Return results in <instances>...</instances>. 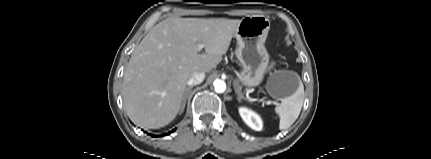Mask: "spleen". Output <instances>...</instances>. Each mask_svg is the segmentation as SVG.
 Masks as SVG:
<instances>
[{"instance_id": "1", "label": "spleen", "mask_w": 431, "mask_h": 159, "mask_svg": "<svg viewBox=\"0 0 431 159\" xmlns=\"http://www.w3.org/2000/svg\"><path fill=\"white\" fill-rule=\"evenodd\" d=\"M304 101V86L300 81L299 89L276 106L275 112L280 117L279 129L289 128L298 118Z\"/></svg>"}]
</instances>
